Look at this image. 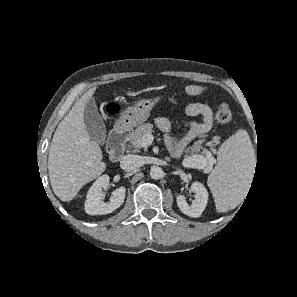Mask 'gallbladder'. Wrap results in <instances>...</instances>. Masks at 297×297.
<instances>
[{
  "mask_svg": "<svg viewBox=\"0 0 297 297\" xmlns=\"http://www.w3.org/2000/svg\"><path fill=\"white\" fill-rule=\"evenodd\" d=\"M84 123L86 131L91 139L100 145L105 144L106 126L98 112L94 99H89L84 110Z\"/></svg>",
  "mask_w": 297,
  "mask_h": 297,
  "instance_id": "1",
  "label": "gallbladder"
}]
</instances>
